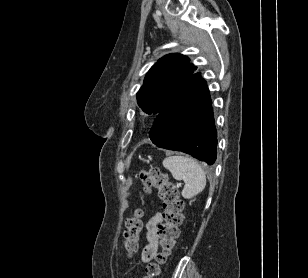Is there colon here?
<instances>
[{
  "instance_id": "colon-1",
  "label": "colon",
  "mask_w": 308,
  "mask_h": 278,
  "mask_svg": "<svg viewBox=\"0 0 308 278\" xmlns=\"http://www.w3.org/2000/svg\"><path fill=\"white\" fill-rule=\"evenodd\" d=\"M139 179L144 192L153 188L158 190L163 206V223L159 224L156 233L160 251L156 252L153 261L146 266V277L154 278L161 273V266L172 253L179 235V226L183 221V202L177 187L169 181L167 175L158 168L142 170ZM142 211L135 210L125 223L124 248L129 255L136 253L139 247L140 234L143 229Z\"/></svg>"
}]
</instances>
